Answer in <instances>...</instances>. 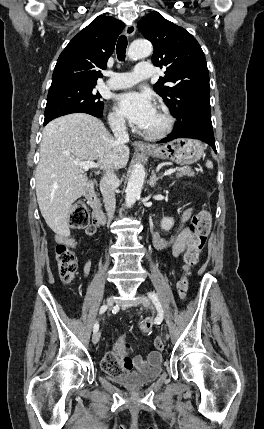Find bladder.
Here are the masks:
<instances>
[{"label":"bladder","instance_id":"obj_1","mask_svg":"<svg viewBox=\"0 0 264 429\" xmlns=\"http://www.w3.org/2000/svg\"><path fill=\"white\" fill-rule=\"evenodd\" d=\"M161 362L142 371H134L121 375L108 373V379L127 388H138L156 381L162 374Z\"/></svg>","mask_w":264,"mask_h":429}]
</instances>
